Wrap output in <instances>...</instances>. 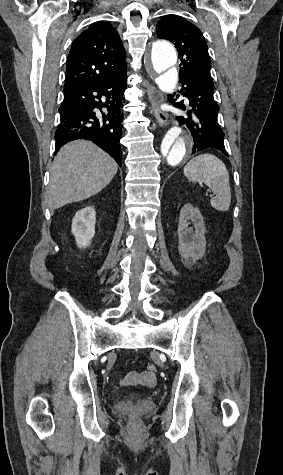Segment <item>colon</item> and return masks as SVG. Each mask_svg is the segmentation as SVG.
<instances>
[{
  "label": "colon",
  "instance_id": "colon-1",
  "mask_svg": "<svg viewBox=\"0 0 283 475\" xmlns=\"http://www.w3.org/2000/svg\"><path fill=\"white\" fill-rule=\"evenodd\" d=\"M157 371V367L154 364H148L147 365V371L145 373L146 377L153 378L155 376V373Z\"/></svg>",
  "mask_w": 283,
  "mask_h": 475
}]
</instances>
